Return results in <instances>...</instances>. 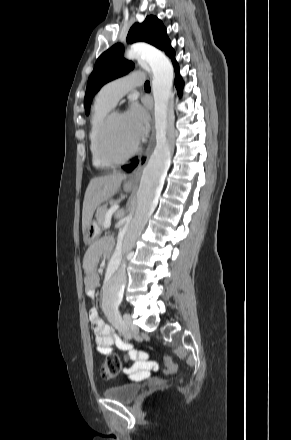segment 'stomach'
<instances>
[{"instance_id":"1","label":"stomach","mask_w":291,"mask_h":440,"mask_svg":"<svg viewBox=\"0 0 291 440\" xmlns=\"http://www.w3.org/2000/svg\"><path fill=\"white\" fill-rule=\"evenodd\" d=\"M124 190L127 192H130L133 190V187L124 185ZM99 234V227L95 221L91 222L90 225L87 227V229L84 232V242L86 244H89L94 241V239Z\"/></svg>"}]
</instances>
